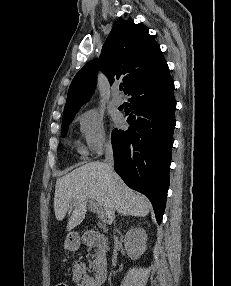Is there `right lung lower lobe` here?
Wrapping results in <instances>:
<instances>
[{
	"label": "right lung lower lobe",
	"instance_id": "obj_1",
	"mask_svg": "<svg viewBox=\"0 0 231 286\" xmlns=\"http://www.w3.org/2000/svg\"><path fill=\"white\" fill-rule=\"evenodd\" d=\"M125 94L131 96L132 113L127 119L130 127L112 132L114 167L130 188L149 198L160 223L169 188L176 125L174 82L168 71L134 82Z\"/></svg>",
	"mask_w": 231,
	"mask_h": 286
}]
</instances>
